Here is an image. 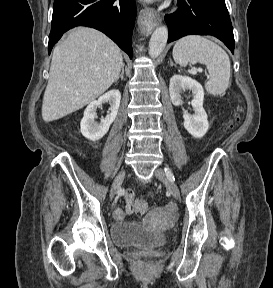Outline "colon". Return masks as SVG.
I'll return each instance as SVG.
<instances>
[{"mask_svg": "<svg viewBox=\"0 0 273 288\" xmlns=\"http://www.w3.org/2000/svg\"><path fill=\"white\" fill-rule=\"evenodd\" d=\"M147 202L143 199H136L133 203V210L138 215H143L147 211Z\"/></svg>", "mask_w": 273, "mask_h": 288, "instance_id": "colon-1", "label": "colon"}]
</instances>
